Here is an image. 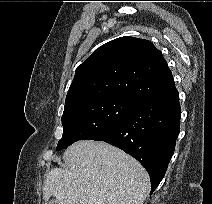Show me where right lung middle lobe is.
I'll list each match as a JSON object with an SVG mask.
<instances>
[{
    "label": "right lung middle lobe",
    "mask_w": 212,
    "mask_h": 204,
    "mask_svg": "<svg viewBox=\"0 0 212 204\" xmlns=\"http://www.w3.org/2000/svg\"><path fill=\"white\" fill-rule=\"evenodd\" d=\"M138 104L128 98L109 96L66 107L62 116L63 136L58 142L57 151L78 140L104 134L123 121Z\"/></svg>",
    "instance_id": "right-lung-middle-lobe-1"
}]
</instances>
